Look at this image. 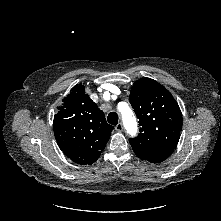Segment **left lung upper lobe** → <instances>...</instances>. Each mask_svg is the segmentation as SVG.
I'll use <instances>...</instances> for the list:
<instances>
[{
	"mask_svg": "<svg viewBox=\"0 0 221 221\" xmlns=\"http://www.w3.org/2000/svg\"><path fill=\"white\" fill-rule=\"evenodd\" d=\"M129 101L139 119L140 133L130 139L142 160L159 163L176 148L182 130V114L170 92L150 78L137 80Z\"/></svg>",
	"mask_w": 221,
	"mask_h": 221,
	"instance_id": "left-lung-upper-lobe-1",
	"label": "left lung upper lobe"
}]
</instances>
